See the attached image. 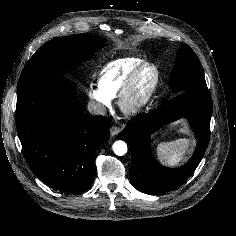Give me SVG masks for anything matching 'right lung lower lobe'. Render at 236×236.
I'll list each match as a JSON object with an SVG mask.
<instances>
[{
    "mask_svg": "<svg viewBox=\"0 0 236 236\" xmlns=\"http://www.w3.org/2000/svg\"><path fill=\"white\" fill-rule=\"evenodd\" d=\"M75 108V84L65 78L18 86L16 127L30 169L48 186L79 194L93 183L94 155L109 128L103 116Z\"/></svg>",
    "mask_w": 236,
    "mask_h": 236,
    "instance_id": "98d812e1",
    "label": "right lung lower lobe"
}]
</instances>
